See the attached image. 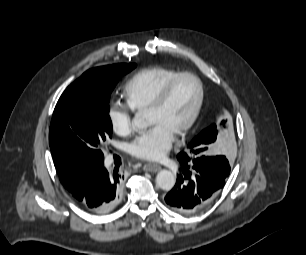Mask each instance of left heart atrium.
Returning <instances> with one entry per match:
<instances>
[{
  "instance_id": "1",
  "label": "left heart atrium",
  "mask_w": 306,
  "mask_h": 255,
  "mask_svg": "<svg viewBox=\"0 0 306 255\" xmlns=\"http://www.w3.org/2000/svg\"><path fill=\"white\" fill-rule=\"evenodd\" d=\"M173 134L160 124H154L149 130L137 137L129 151L136 158L157 161L170 150Z\"/></svg>"
}]
</instances>
